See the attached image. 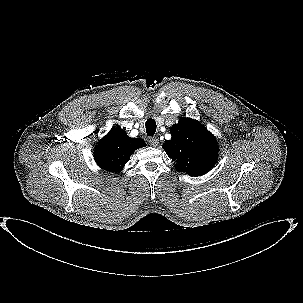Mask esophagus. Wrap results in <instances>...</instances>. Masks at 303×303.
Returning <instances> with one entry per match:
<instances>
[{
	"mask_svg": "<svg viewBox=\"0 0 303 303\" xmlns=\"http://www.w3.org/2000/svg\"><path fill=\"white\" fill-rule=\"evenodd\" d=\"M149 144L153 147H156L159 144V139L157 137H150Z\"/></svg>",
	"mask_w": 303,
	"mask_h": 303,
	"instance_id": "obj_1",
	"label": "esophagus"
}]
</instances>
